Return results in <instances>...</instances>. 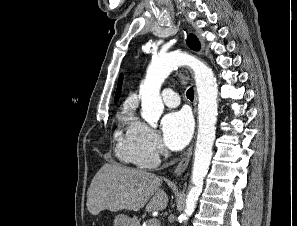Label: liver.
<instances>
[{"label":"liver","instance_id":"6515ba94","mask_svg":"<svg viewBox=\"0 0 297 226\" xmlns=\"http://www.w3.org/2000/svg\"><path fill=\"white\" fill-rule=\"evenodd\" d=\"M162 179L148 171L130 169L114 163L104 164L94 176L87 193V209L92 215L103 210L147 212L163 210L168 196Z\"/></svg>","mask_w":297,"mask_h":226}]
</instances>
